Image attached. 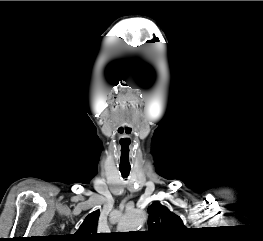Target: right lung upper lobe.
Returning a JSON list of instances; mask_svg holds the SVG:
<instances>
[{"mask_svg": "<svg viewBox=\"0 0 263 241\" xmlns=\"http://www.w3.org/2000/svg\"><path fill=\"white\" fill-rule=\"evenodd\" d=\"M99 210L89 214L77 232L72 235L73 241H100L101 236L97 233Z\"/></svg>", "mask_w": 263, "mask_h": 241, "instance_id": "obj_1", "label": "right lung upper lobe"}]
</instances>
